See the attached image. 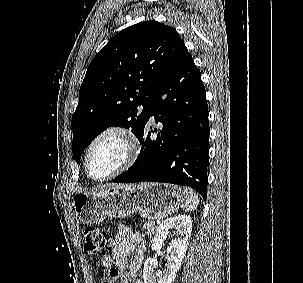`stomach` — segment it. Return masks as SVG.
Returning <instances> with one entry per match:
<instances>
[{"label":"stomach","mask_w":303,"mask_h":283,"mask_svg":"<svg viewBox=\"0 0 303 283\" xmlns=\"http://www.w3.org/2000/svg\"><path fill=\"white\" fill-rule=\"evenodd\" d=\"M183 200V192L177 186L141 183L78 192L72 198V205L81 222L98 224L107 217L125 218L133 213L146 219L166 218L179 209Z\"/></svg>","instance_id":"obj_1"}]
</instances>
